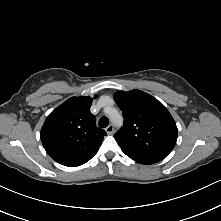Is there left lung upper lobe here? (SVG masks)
Returning <instances> with one entry per match:
<instances>
[{
  "label": "left lung upper lobe",
  "mask_w": 221,
  "mask_h": 221,
  "mask_svg": "<svg viewBox=\"0 0 221 221\" xmlns=\"http://www.w3.org/2000/svg\"><path fill=\"white\" fill-rule=\"evenodd\" d=\"M114 99L124 116L123 127L114 135L122 151L164 159L178 134L166 107L140 90L118 91Z\"/></svg>",
  "instance_id": "left-lung-upper-lobe-1"
}]
</instances>
